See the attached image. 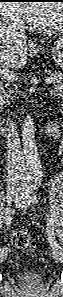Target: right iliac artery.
Masks as SVG:
<instances>
[{"label":"right iliac artery","instance_id":"1","mask_svg":"<svg viewBox=\"0 0 63 297\" xmlns=\"http://www.w3.org/2000/svg\"><path fill=\"white\" fill-rule=\"evenodd\" d=\"M18 194L16 193V196H17ZM14 195H13V192H9L8 194H7V203L8 204H10L11 203V201H12V197H13ZM11 215H12V210L9 208V207H7L6 209H5V216H4V222H5V224H10L11 223V220H12V217H11ZM1 253H3V252H8L9 250H8V248H2L1 250Z\"/></svg>","mask_w":63,"mask_h":297}]
</instances>
